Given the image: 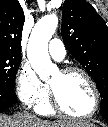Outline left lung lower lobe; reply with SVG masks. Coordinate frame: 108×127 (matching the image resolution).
<instances>
[{
    "label": "left lung lower lobe",
    "mask_w": 108,
    "mask_h": 127,
    "mask_svg": "<svg viewBox=\"0 0 108 127\" xmlns=\"http://www.w3.org/2000/svg\"><path fill=\"white\" fill-rule=\"evenodd\" d=\"M103 117L108 121V115H104Z\"/></svg>",
    "instance_id": "left-lung-lower-lobe-1"
}]
</instances>
